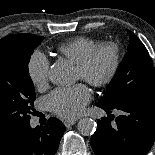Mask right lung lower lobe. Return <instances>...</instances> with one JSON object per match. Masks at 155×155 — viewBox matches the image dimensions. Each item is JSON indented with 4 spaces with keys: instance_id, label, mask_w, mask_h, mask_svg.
Here are the masks:
<instances>
[{
    "instance_id": "right-lung-lower-lobe-1",
    "label": "right lung lower lobe",
    "mask_w": 155,
    "mask_h": 155,
    "mask_svg": "<svg viewBox=\"0 0 155 155\" xmlns=\"http://www.w3.org/2000/svg\"><path fill=\"white\" fill-rule=\"evenodd\" d=\"M64 131L56 118H50L44 127L33 129L29 124L0 136V155H54Z\"/></svg>"
}]
</instances>
